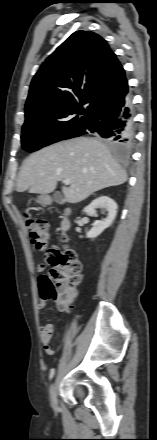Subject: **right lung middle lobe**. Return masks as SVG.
Wrapping results in <instances>:
<instances>
[{
    "instance_id": "obj_1",
    "label": "right lung middle lobe",
    "mask_w": 157,
    "mask_h": 440,
    "mask_svg": "<svg viewBox=\"0 0 157 440\" xmlns=\"http://www.w3.org/2000/svg\"><path fill=\"white\" fill-rule=\"evenodd\" d=\"M83 127L42 121L25 122L21 135L22 148L34 152L60 140L78 137L84 131Z\"/></svg>"
}]
</instances>
